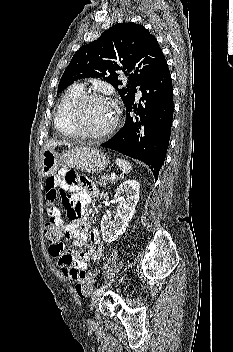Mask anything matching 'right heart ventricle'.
I'll return each mask as SVG.
<instances>
[{
    "instance_id": "e07e8e85",
    "label": "right heart ventricle",
    "mask_w": 233,
    "mask_h": 352,
    "mask_svg": "<svg viewBox=\"0 0 233 352\" xmlns=\"http://www.w3.org/2000/svg\"><path fill=\"white\" fill-rule=\"evenodd\" d=\"M83 93L84 90L81 85L71 86L66 91L57 107L55 113V127L62 135L66 137H75V134L69 126L68 115L74 101Z\"/></svg>"
}]
</instances>
